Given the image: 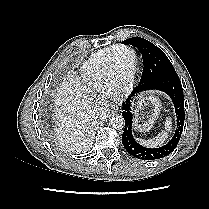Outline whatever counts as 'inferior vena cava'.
Returning a JSON list of instances; mask_svg holds the SVG:
<instances>
[{
  "label": "inferior vena cava",
  "instance_id": "1",
  "mask_svg": "<svg viewBox=\"0 0 209 209\" xmlns=\"http://www.w3.org/2000/svg\"><path fill=\"white\" fill-rule=\"evenodd\" d=\"M107 110V106L96 105L93 109L95 115L102 116Z\"/></svg>",
  "mask_w": 209,
  "mask_h": 209
}]
</instances>
